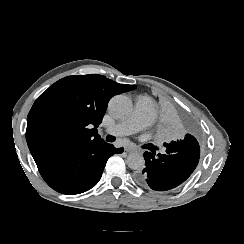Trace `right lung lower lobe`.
<instances>
[{
	"label": "right lung lower lobe",
	"mask_w": 244,
	"mask_h": 244,
	"mask_svg": "<svg viewBox=\"0 0 244 244\" xmlns=\"http://www.w3.org/2000/svg\"><path fill=\"white\" fill-rule=\"evenodd\" d=\"M103 141L51 151L34 156L40 174L47 184L63 194H79L94 187L100 180L110 156L122 153Z\"/></svg>",
	"instance_id": "obj_1"
}]
</instances>
